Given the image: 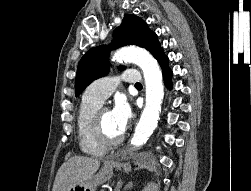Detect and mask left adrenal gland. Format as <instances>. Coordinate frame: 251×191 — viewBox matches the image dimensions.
<instances>
[{"instance_id": "obj_1", "label": "left adrenal gland", "mask_w": 251, "mask_h": 191, "mask_svg": "<svg viewBox=\"0 0 251 191\" xmlns=\"http://www.w3.org/2000/svg\"><path fill=\"white\" fill-rule=\"evenodd\" d=\"M121 185H122V181L120 179V181H118L117 183L116 191H120L119 187H121Z\"/></svg>"}]
</instances>
